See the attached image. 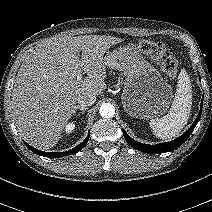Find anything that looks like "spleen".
Instances as JSON below:
<instances>
[{
    "label": "spleen",
    "instance_id": "3e777b00",
    "mask_svg": "<svg viewBox=\"0 0 212 212\" xmlns=\"http://www.w3.org/2000/svg\"><path fill=\"white\" fill-rule=\"evenodd\" d=\"M189 76L181 70L178 76L176 94L168 114L160 119L151 120L149 127L163 140L177 137L187 124L192 107V90Z\"/></svg>",
    "mask_w": 212,
    "mask_h": 212
}]
</instances>
